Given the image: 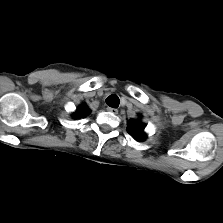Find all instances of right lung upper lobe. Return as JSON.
<instances>
[{
    "label": "right lung upper lobe",
    "instance_id": "cb5924a9",
    "mask_svg": "<svg viewBox=\"0 0 223 223\" xmlns=\"http://www.w3.org/2000/svg\"><path fill=\"white\" fill-rule=\"evenodd\" d=\"M88 112L89 109L86 106L82 105L77 109L75 114L76 117H85L88 114Z\"/></svg>",
    "mask_w": 223,
    "mask_h": 223
}]
</instances>
